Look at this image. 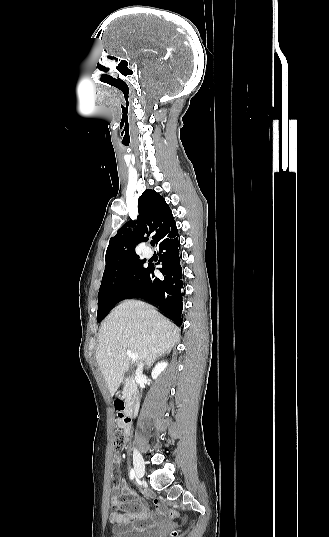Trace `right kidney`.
Instances as JSON below:
<instances>
[{
    "mask_svg": "<svg viewBox=\"0 0 329 537\" xmlns=\"http://www.w3.org/2000/svg\"><path fill=\"white\" fill-rule=\"evenodd\" d=\"M167 367V362L162 361L159 362L154 369L152 370L151 376L153 379H157V377L161 374L162 371Z\"/></svg>",
    "mask_w": 329,
    "mask_h": 537,
    "instance_id": "1",
    "label": "right kidney"
}]
</instances>
